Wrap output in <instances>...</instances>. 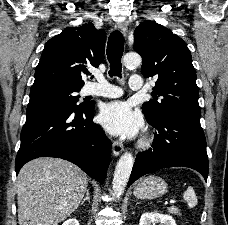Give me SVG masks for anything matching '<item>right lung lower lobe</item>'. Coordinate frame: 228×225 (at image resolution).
<instances>
[{
    "instance_id": "98d812e1",
    "label": "right lung lower lobe",
    "mask_w": 228,
    "mask_h": 225,
    "mask_svg": "<svg viewBox=\"0 0 228 225\" xmlns=\"http://www.w3.org/2000/svg\"><path fill=\"white\" fill-rule=\"evenodd\" d=\"M93 113L94 105L79 109L64 102L27 107L16 174L32 159L57 157L76 164L102 184L110 161L111 141L92 122Z\"/></svg>"
}]
</instances>
